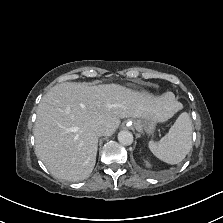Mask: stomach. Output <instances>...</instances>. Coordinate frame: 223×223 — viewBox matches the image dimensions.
<instances>
[{
    "mask_svg": "<svg viewBox=\"0 0 223 223\" xmlns=\"http://www.w3.org/2000/svg\"><path fill=\"white\" fill-rule=\"evenodd\" d=\"M156 121L152 117H145V118H138L132 121L133 127L137 131H145L148 134H151L155 127H156Z\"/></svg>",
    "mask_w": 223,
    "mask_h": 223,
    "instance_id": "0dacf381",
    "label": "stomach"
}]
</instances>
